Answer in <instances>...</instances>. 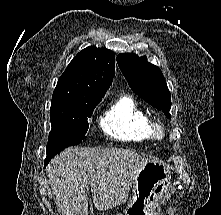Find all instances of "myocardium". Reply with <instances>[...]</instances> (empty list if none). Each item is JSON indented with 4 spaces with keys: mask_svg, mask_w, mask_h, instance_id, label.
Returning a JSON list of instances; mask_svg holds the SVG:
<instances>
[{
    "mask_svg": "<svg viewBox=\"0 0 221 215\" xmlns=\"http://www.w3.org/2000/svg\"><path fill=\"white\" fill-rule=\"evenodd\" d=\"M151 131L152 135L156 139H161L165 134V128L162 123L160 122H154L151 124Z\"/></svg>",
    "mask_w": 221,
    "mask_h": 215,
    "instance_id": "myocardium-1",
    "label": "myocardium"
}]
</instances>
